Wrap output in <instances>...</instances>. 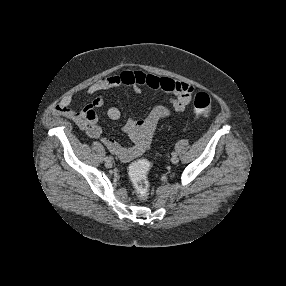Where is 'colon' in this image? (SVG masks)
Listing matches in <instances>:
<instances>
[{"label": "colon", "instance_id": "5ec220e1", "mask_svg": "<svg viewBox=\"0 0 286 286\" xmlns=\"http://www.w3.org/2000/svg\"><path fill=\"white\" fill-rule=\"evenodd\" d=\"M194 113L197 116H206L211 110V99L205 92H200L194 99ZM150 164L145 159L135 162L130 170L129 176L134 185L135 191L139 199L146 200L150 193V184L148 180V170Z\"/></svg>", "mask_w": 286, "mask_h": 286}]
</instances>
